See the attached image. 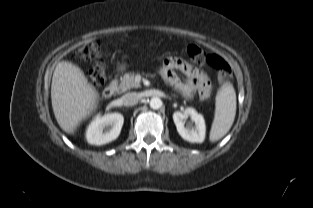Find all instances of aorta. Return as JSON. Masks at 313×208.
I'll return each instance as SVG.
<instances>
[{
  "label": "aorta",
  "mask_w": 313,
  "mask_h": 208,
  "mask_svg": "<svg viewBox=\"0 0 313 208\" xmlns=\"http://www.w3.org/2000/svg\"><path fill=\"white\" fill-rule=\"evenodd\" d=\"M149 104L152 109H159L162 106V101L158 97H153Z\"/></svg>",
  "instance_id": "aorta-1"
}]
</instances>
